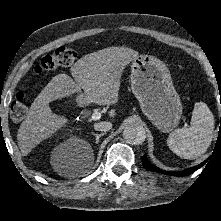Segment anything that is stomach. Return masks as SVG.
I'll return each mask as SVG.
<instances>
[{
	"mask_svg": "<svg viewBox=\"0 0 221 221\" xmlns=\"http://www.w3.org/2000/svg\"><path fill=\"white\" fill-rule=\"evenodd\" d=\"M130 78L144 115L162 132L177 127L183 107L165 63L152 55H140L132 61Z\"/></svg>",
	"mask_w": 221,
	"mask_h": 221,
	"instance_id": "obj_1",
	"label": "stomach"
}]
</instances>
